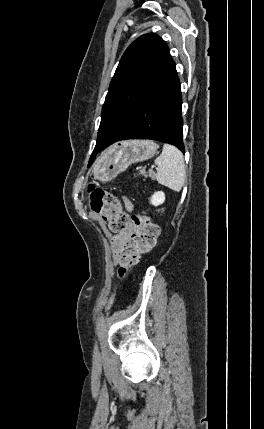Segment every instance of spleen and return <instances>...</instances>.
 <instances>
[{"instance_id": "3e777b00", "label": "spleen", "mask_w": 264, "mask_h": 429, "mask_svg": "<svg viewBox=\"0 0 264 429\" xmlns=\"http://www.w3.org/2000/svg\"><path fill=\"white\" fill-rule=\"evenodd\" d=\"M158 166V183L179 192L185 182V164L181 151L173 145L164 144L162 153L155 159Z\"/></svg>"}]
</instances>
